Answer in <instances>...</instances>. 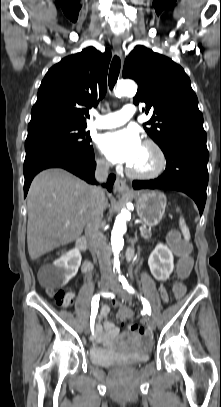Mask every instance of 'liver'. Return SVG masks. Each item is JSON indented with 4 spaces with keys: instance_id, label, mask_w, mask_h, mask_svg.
Returning <instances> with one entry per match:
<instances>
[{
    "instance_id": "obj_1",
    "label": "liver",
    "mask_w": 221,
    "mask_h": 407,
    "mask_svg": "<svg viewBox=\"0 0 221 407\" xmlns=\"http://www.w3.org/2000/svg\"><path fill=\"white\" fill-rule=\"evenodd\" d=\"M27 208L28 253L35 260L79 238L91 214V186L63 169L44 170L31 183Z\"/></svg>"
}]
</instances>
